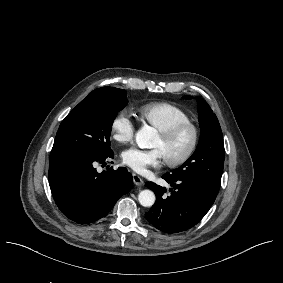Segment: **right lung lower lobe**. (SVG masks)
Here are the masks:
<instances>
[{
	"label": "right lung lower lobe",
	"mask_w": 283,
	"mask_h": 283,
	"mask_svg": "<svg viewBox=\"0 0 283 283\" xmlns=\"http://www.w3.org/2000/svg\"><path fill=\"white\" fill-rule=\"evenodd\" d=\"M114 158L95 153H74L52 157L49 161V185L61 212L82 224L94 222L108 214L117 200L133 184L126 168H112L98 173L97 162Z\"/></svg>",
	"instance_id": "1"
}]
</instances>
